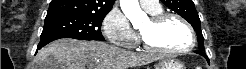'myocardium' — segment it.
Instances as JSON below:
<instances>
[{"label":"myocardium","mask_w":246,"mask_h":69,"mask_svg":"<svg viewBox=\"0 0 246 69\" xmlns=\"http://www.w3.org/2000/svg\"><path fill=\"white\" fill-rule=\"evenodd\" d=\"M169 19H176L182 23V25L185 27V29L188 32L190 44L187 47L181 49L162 48L152 45L145 37H143L140 34V39L144 47L153 52L164 54V55H176V54L186 53L188 51H191L195 45V35L191 25L183 17H181L176 13H161L157 15H152L149 20L154 27H157Z\"/></svg>","instance_id":"myocardium-1"}]
</instances>
